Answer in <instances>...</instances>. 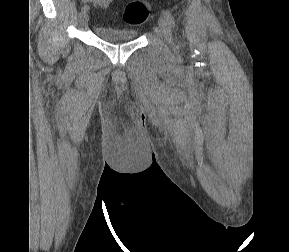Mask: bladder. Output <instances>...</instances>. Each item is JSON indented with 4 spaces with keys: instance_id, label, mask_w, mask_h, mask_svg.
Here are the masks:
<instances>
[{
    "instance_id": "bladder-1",
    "label": "bladder",
    "mask_w": 289,
    "mask_h": 252,
    "mask_svg": "<svg viewBox=\"0 0 289 252\" xmlns=\"http://www.w3.org/2000/svg\"><path fill=\"white\" fill-rule=\"evenodd\" d=\"M95 35L106 42H127L137 38L138 33L133 29H122L112 26H97L94 29Z\"/></svg>"
}]
</instances>
